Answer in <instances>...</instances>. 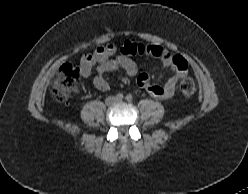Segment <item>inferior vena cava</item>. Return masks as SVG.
Masks as SVG:
<instances>
[{
	"label": "inferior vena cava",
	"instance_id": "inferior-vena-cava-1",
	"mask_svg": "<svg viewBox=\"0 0 248 194\" xmlns=\"http://www.w3.org/2000/svg\"><path fill=\"white\" fill-rule=\"evenodd\" d=\"M116 101V99L114 98V97H108L107 99H106V104H111V103H113V102H115Z\"/></svg>",
	"mask_w": 248,
	"mask_h": 194
}]
</instances>
